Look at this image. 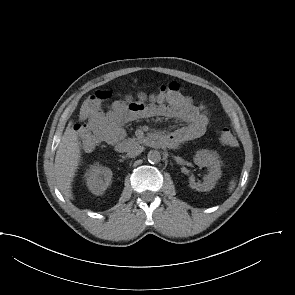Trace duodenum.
<instances>
[{
    "mask_svg": "<svg viewBox=\"0 0 295 295\" xmlns=\"http://www.w3.org/2000/svg\"><path fill=\"white\" fill-rule=\"evenodd\" d=\"M146 141L150 146L153 147L161 146L165 143V139L155 133L151 134ZM115 149L119 153L126 152L128 150V144L123 141H119L115 144Z\"/></svg>",
    "mask_w": 295,
    "mask_h": 295,
    "instance_id": "410a0bca",
    "label": "duodenum"
}]
</instances>
